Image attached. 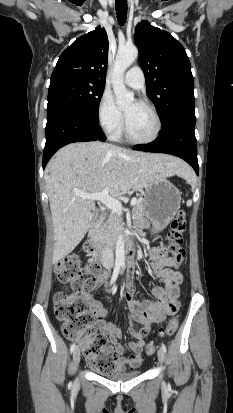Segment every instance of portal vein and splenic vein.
<instances>
[{"mask_svg":"<svg viewBox=\"0 0 233 413\" xmlns=\"http://www.w3.org/2000/svg\"><path fill=\"white\" fill-rule=\"evenodd\" d=\"M75 194L83 199H89V200H98L105 204L110 210L117 214H122V204L120 201L117 199L111 197L109 195V189L105 188L102 192L99 193H92V194H86L80 191H76ZM137 203V198H133L131 200V206H134Z\"/></svg>","mask_w":233,"mask_h":413,"instance_id":"1","label":"portal vein and splenic vein"}]
</instances>
